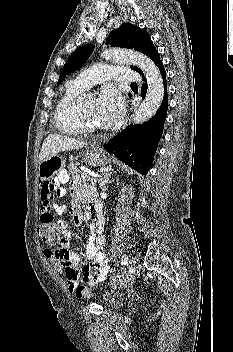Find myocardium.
Here are the masks:
<instances>
[{
    "instance_id": "obj_1",
    "label": "myocardium",
    "mask_w": 233,
    "mask_h": 352,
    "mask_svg": "<svg viewBox=\"0 0 233 352\" xmlns=\"http://www.w3.org/2000/svg\"><path fill=\"white\" fill-rule=\"evenodd\" d=\"M79 119H80V123L83 131L92 133L100 130L99 126H96L89 121L82 106H79Z\"/></svg>"
}]
</instances>
